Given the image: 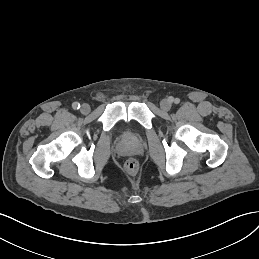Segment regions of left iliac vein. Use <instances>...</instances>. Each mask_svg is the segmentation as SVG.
Wrapping results in <instances>:
<instances>
[{"instance_id":"left-iliac-vein-1","label":"left iliac vein","mask_w":259,"mask_h":259,"mask_svg":"<svg viewBox=\"0 0 259 259\" xmlns=\"http://www.w3.org/2000/svg\"><path fill=\"white\" fill-rule=\"evenodd\" d=\"M171 101L167 100V99H163L160 103V107L162 110L164 111H169L171 108Z\"/></svg>"}]
</instances>
